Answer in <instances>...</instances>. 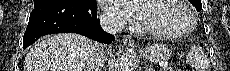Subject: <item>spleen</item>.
I'll return each instance as SVG.
<instances>
[{"instance_id": "obj_1", "label": "spleen", "mask_w": 230, "mask_h": 71, "mask_svg": "<svg viewBox=\"0 0 230 71\" xmlns=\"http://www.w3.org/2000/svg\"><path fill=\"white\" fill-rule=\"evenodd\" d=\"M186 61L197 70L205 71L208 68V62L204 58L202 51L196 46L191 47L186 56Z\"/></svg>"}]
</instances>
